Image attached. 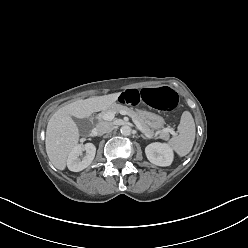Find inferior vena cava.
Here are the masks:
<instances>
[{"mask_svg": "<svg viewBox=\"0 0 248 248\" xmlns=\"http://www.w3.org/2000/svg\"><path fill=\"white\" fill-rule=\"evenodd\" d=\"M112 128V124L109 123V122H105V121H102V122H99L97 125H96V132L99 134V135H103L107 132H109Z\"/></svg>", "mask_w": 248, "mask_h": 248, "instance_id": "obj_1", "label": "inferior vena cava"}]
</instances>
